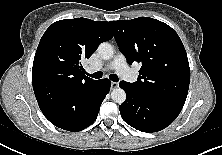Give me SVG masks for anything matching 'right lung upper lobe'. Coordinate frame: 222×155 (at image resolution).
<instances>
[{"instance_id": "1", "label": "right lung upper lobe", "mask_w": 222, "mask_h": 155, "mask_svg": "<svg viewBox=\"0 0 222 155\" xmlns=\"http://www.w3.org/2000/svg\"><path fill=\"white\" fill-rule=\"evenodd\" d=\"M110 22L74 18L53 23L43 34L34 57V92L52 87L65 93L94 82L85 75L81 61L113 37Z\"/></svg>"}]
</instances>
